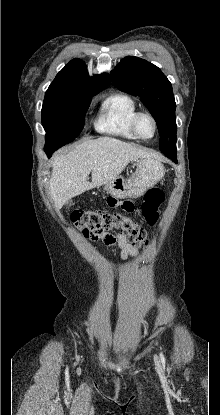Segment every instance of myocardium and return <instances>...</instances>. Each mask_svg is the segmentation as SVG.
I'll return each instance as SVG.
<instances>
[{
  "label": "myocardium",
  "mask_w": 220,
  "mask_h": 415,
  "mask_svg": "<svg viewBox=\"0 0 220 415\" xmlns=\"http://www.w3.org/2000/svg\"><path fill=\"white\" fill-rule=\"evenodd\" d=\"M142 117H148L153 123L154 133L150 138L142 137L140 135L139 131H138V122H139L140 118H142ZM131 129H132V131H133V133H134V135L136 136L137 139H140L142 141H147V140L153 139L156 136V134L158 132V123H157L156 118L151 113H149V112H137L134 115L133 119H132Z\"/></svg>",
  "instance_id": "1"
}]
</instances>
